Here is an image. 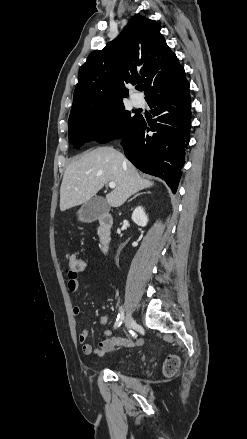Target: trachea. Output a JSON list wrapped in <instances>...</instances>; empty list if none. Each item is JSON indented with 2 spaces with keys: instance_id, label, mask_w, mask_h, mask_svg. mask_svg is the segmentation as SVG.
Listing matches in <instances>:
<instances>
[{
  "instance_id": "trachea-1",
  "label": "trachea",
  "mask_w": 247,
  "mask_h": 439,
  "mask_svg": "<svg viewBox=\"0 0 247 439\" xmlns=\"http://www.w3.org/2000/svg\"><path fill=\"white\" fill-rule=\"evenodd\" d=\"M137 89H138L139 91H142V90L144 89V87H143V86H138Z\"/></svg>"
}]
</instances>
